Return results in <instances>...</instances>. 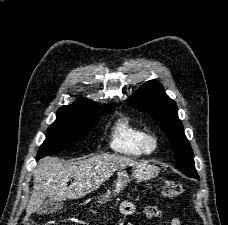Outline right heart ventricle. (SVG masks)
<instances>
[{"instance_id": "1", "label": "right heart ventricle", "mask_w": 228, "mask_h": 225, "mask_svg": "<svg viewBox=\"0 0 228 225\" xmlns=\"http://www.w3.org/2000/svg\"><path fill=\"white\" fill-rule=\"evenodd\" d=\"M150 133L132 121L123 117L113 127L109 147L118 154L141 157L151 153L147 146V138Z\"/></svg>"}]
</instances>
